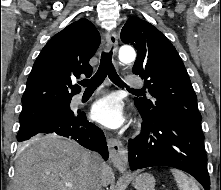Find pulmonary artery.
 <instances>
[{
	"label": "pulmonary artery",
	"instance_id": "e3ab8cb5",
	"mask_svg": "<svg viewBox=\"0 0 221 190\" xmlns=\"http://www.w3.org/2000/svg\"><path fill=\"white\" fill-rule=\"evenodd\" d=\"M124 83L128 87L132 88H140L144 85L143 80L136 75H127L124 79ZM82 94H78L75 96V101L81 99Z\"/></svg>",
	"mask_w": 221,
	"mask_h": 190
}]
</instances>
